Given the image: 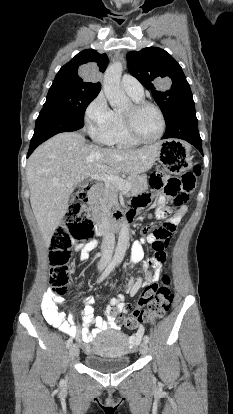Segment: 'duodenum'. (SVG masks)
Here are the masks:
<instances>
[{"label":"duodenum","instance_id":"obj_1","mask_svg":"<svg viewBox=\"0 0 233 414\" xmlns=\"http://www.w3.org/2000/svg\"><path fill=\"white\" fill-rule=\"evenodd\" d=\"M87 190L88 192H90L91 188L88 187ZM93 190L95 191L96 189L94 188ZM91 193L93 194L94 192L92 191ZM96 193L98 194L99 192L97 191ZM88 197L89 195L87 193V197L86 196L83 197L81 201L85 205L89 203V207H91L93 203H96V198H88ZM96 197L98 198L99 196L97 195ZM97 205H98V208L96 210H93L91 208V210L94 213H97L98 211L101 210V205L100 204H97ZM132 218H133V213H128V212L119 210L113 213L111 223L109 225L104 224L103 226H100L98 224V221L101 219V214L97 213L96 215H92V220H95L96 229L99 234L105 233L109 229H112V230L118 229L122 227L123 225L128 224L132 220Z\"/></svg>","mask_w":233,"mask_h":414}]
</instances>
